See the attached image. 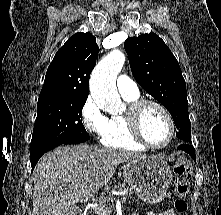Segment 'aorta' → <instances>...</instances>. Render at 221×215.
I'll return each instance as SVG.
<instances>
[{
  "instance_id": "762f6f07",
  "label": "aorta",
  "mask_w": 221,
  "mask_h": 215,
  "mask_svg": "<svg viewBox=\"0 0 221 215\" xmlns=\"http://www.w3.org/2000/svg\"><path fill=\"white\" fill-rule=\"evenodd\" d=\"M125 63V55L114 50L94 68L90 78V93L104 111L118 114L123 105L116 88V78Z\"/></svg>"
}]
</instances>
